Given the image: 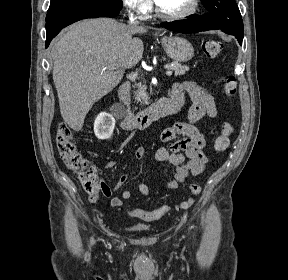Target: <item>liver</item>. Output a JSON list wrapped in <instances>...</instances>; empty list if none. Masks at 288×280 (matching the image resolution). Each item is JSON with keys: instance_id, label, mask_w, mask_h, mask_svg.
<instances>
[{"instance_id": "6515ba94", "label": "liver", "mask_w": 288, "mask_h": 280, "mask_svg": "<svg viewBox=\"0 0 288 280\" xmlns=\"http://www.w3.org/2000/svg\"><path fill=\"white\" fill-rule=\"evenodd\" d=\"M147 31L111 18L89 19L71 25L53 45L60 112L73 130H81L93 104L120 83L125 69L140 61L143 42L132 35Z\"/></svg>"}]
</instances>
